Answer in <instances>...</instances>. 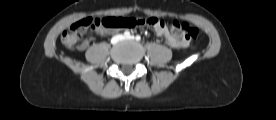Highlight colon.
Here are the masks:
<instances>
[{"label": "colon", "instance_id": "5ec220e1", "mask_svg": "<svg viewBox=\"0 0 276 120\" xmlns=\"http://www.w3.org/2000/svg\"><path fill=\"white\" fill-rule=\"evenodd\" d=\"M162 20L158 18H134V17H104V18H85L74 23L68 30L63 32L61 41L66 47H74L83 32L88 29H119L134 28L138 26L158 25ZM170 31L174 36H181L185 40H193L198 36V30L189 23L173 22Z\"/></svg>", "mask_w": 276, "mask_h": 120}]
</instances>
